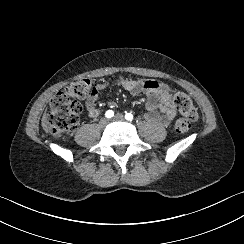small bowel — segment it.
<instances>
[{
    "label": "small bowel",
    "mask_w": 244,
    "mask_h": 244,
    "mask_svg": "<svg viewBox=\"0 0 244 244\" xmlns=\"http://www.w3.org/2000/svg\"><path fill=\"white\" fill-rule=\"evenodd\" d=\"M117 86L133 96H145L146 112L144 118L150 123L168 126L176 116V110L171 100L170 88L167 84L155 80H139L119 76ZM110 86L108 81H98L94 84L86 99V112L93 116L97 112V104L105 89Z\"/></svg>",
    "instance_id": "obj_1"
}]
</instances>
